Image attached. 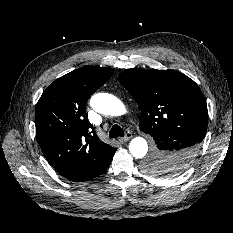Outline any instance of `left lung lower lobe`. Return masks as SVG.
<instances>
[{
  "instance_id": "obj_1",
  "label": "left lung lower lobe",
  "mask_w": 233,
  "mask_h": 233,
  "mask_svg": "<svg viewBox=\"0 0 233 233\" xmlns=\"http://www.w3.org/2000/svg\"><path fill=\"white\" fill-rule=\"evenodd\" d=\"M156 143L154 150L168 154L167 157L176 167L186 170L197 154V145L194 139L180 132H156L153 136ZM169 174L160 177H170Z\"/></svg>"
}]
</instances>
